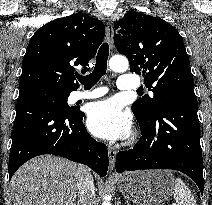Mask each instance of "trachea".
I'll return each instance as SVG.
<instances>
[{"mask_svg":"<svg viewBox=\"0 0 212 205\" xmlns=\"http://www.w3.org/2000/svg\"><path fill=\"white\" fill-rule=\"evenodd\" d=\"M108 56L109 45L103 43L98 51L93 72L90 75L78 77V81L82 83L85 88H91L106 74Z\"/></svg>","mask_w":212,"mask_h":205,"instance_id":"1","label":"trachea"}]
</instances>
